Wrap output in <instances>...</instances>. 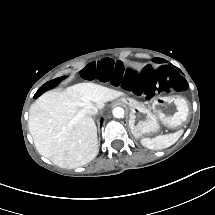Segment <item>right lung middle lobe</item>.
<instances>
[{"label":"right lung middle lobe","mask_w":215,"mask_h":215,"mask_svg":"<svg viewBox=\"0 0 215 215\" xmlns=\"http://www.w3.org/2000/svg\"><path fill=\"white\" fill-rule=\"evenodd\" d=\"M62 79H64V77L56 78L54 80H51V81L45 83L44 85H42L39 88V90L36 92V94L34 95V97L35 98L39 97L45 91H47V90L51 89L52 87H54L55 85H57Z\"/></svg>","instance_id":"dd1d6c3e"}]
</instances>
